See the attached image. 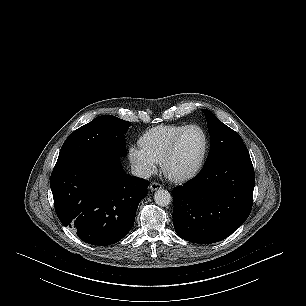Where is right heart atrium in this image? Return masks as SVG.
<instances>
[{
	"mask_svg": "<svg viewBox=\"0 0 306 306\" xmlns=\"http://www.w3.org/2000/svg\"><path fill=\"white\" fill-rule=\"evenodd\" d=\"M128 156L133 168L141 176H149L156 171L158 162L141 146H130Z\"/></svg>",
	"mask_w": 306,
	"mask_h": 306,
	"instance_id": "right-heart-atrium-1",
	"label": "right heart atrium"
}]
</instances>
